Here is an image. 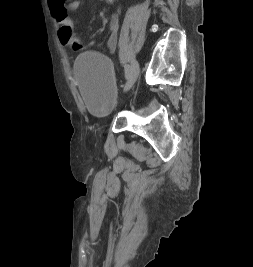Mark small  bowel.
Segmentation results:
<instances>
[{
  "instance_id": "1",
  "label": "small bowel",
  "mask_w": 253,
  "mask_h": 267,
  "mask_svg": "<svg viewBox=\"0 0 253 267\" xmlns=\"http://www.w3.org/2000/svg\"><path fill=\"white\" fill-rule=\"evenodd\" d=\"M107 2L113 3L116 0H105ZM84 0H48V6L50 12L57 23L62 25H67L72 27V20L70 18V13L77 10ZM109 36L107 39V47L109 51L114 52L118 43V30H119V15L112 14L108 21Z\"/></svg>"
}]
</instances>
